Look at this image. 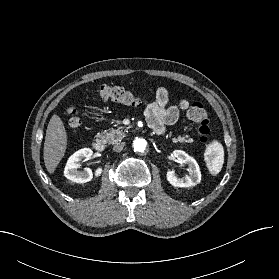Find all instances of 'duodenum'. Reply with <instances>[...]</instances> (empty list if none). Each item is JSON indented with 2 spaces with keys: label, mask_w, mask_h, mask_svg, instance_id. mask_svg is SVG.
<instances>
[{
  "label": "duodenum",
  "mask_w": 279,
  "mask_h": 279,
  "mask_svg": "<svg viewBox=\"0 0 279 279\" xmlns=\"http://www.w3.org/2000/svg\"><path fill=\"white\" fill-rule=\"evenodd\" d=\"M93 149L97 152H103L105 150V141L102 139H96L93 143H92Z\"/></svg>",
  "instance_id": "410a0bca"
}]
</instances>
